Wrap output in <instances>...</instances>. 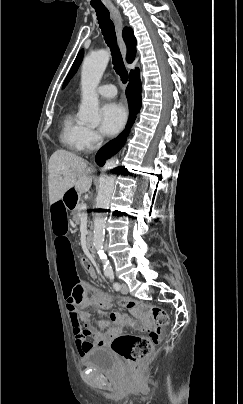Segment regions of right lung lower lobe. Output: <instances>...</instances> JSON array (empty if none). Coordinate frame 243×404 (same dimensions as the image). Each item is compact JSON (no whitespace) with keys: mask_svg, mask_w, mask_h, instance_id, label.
<instances>
[{"mask_svg":"<svg viewBox=\"0 0 243 404\" xmlns=\"http://www.w3.org/2000/svg\"><path fill=\"white\" fill-rule=\"evenodd\" d=\"M126 96L129 103L131 118L127 124V129L116 139L103 146L96 155V162L102 166L109 155L115 154L124 144L129 133V128L135 120L137 113L141 108V84L139 79V70L130 76V83L126 89Z\"/></svg>","mask_w":243,"mask_h":404,"instance_id":"obj_1","label":"right lung lower lobe"}]
</instances>
